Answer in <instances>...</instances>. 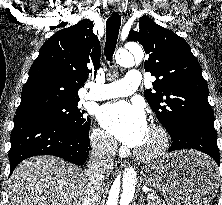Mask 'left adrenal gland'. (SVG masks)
Wrapping results in <instances>:
<instances>
[{"label": "left adrenal gland", "mask_w": 222, "mask_h": 205, "mask_svg": "<svg viewBox=\"0 0 222 205\" xmlns=\"http://www.w3.org/2000/svg\"><path fill=\"white\" fill-rule=\"evenodd\" d=\"M139 205H145V200L144 198H141L140 202H139Z\"/></svg>", "instance_id": "left-adrenal-gland-1"}]
</instances>
